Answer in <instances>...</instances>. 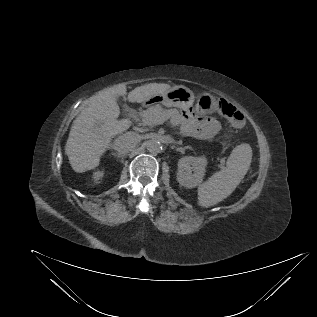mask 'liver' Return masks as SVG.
Returning a JSON list of instances; mask_svg holds the SVG:
<instances>
[{"label": "liver", "instance_id": "obj_1", "mask_svg": "<svg viewBox=\"0 0 317 317\" xmlns=\"http://www.w3.org/2000/svg\"><path fill=\"white\" fill-rule=\"evenodd\" d=\"M170 88L169 84L150 83L136 87L126 98V85L118 84L91 97L73 121L66 142L65 154L72 169L81 173L96 168L112 139L131 126L128 119L118 120V96L131 103H142L156 95L165 94Z\"/></svg>", "mask_w": 317, "mask_h": 317}]
</instances>
